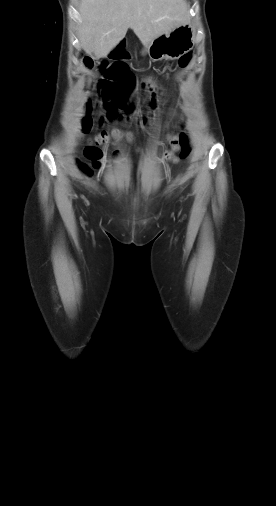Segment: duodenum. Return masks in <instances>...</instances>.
Returning <instances> with one entry per match:
<instances>
[{
	"mask_svg": "<svg viewBox=\"0 0 276 506\" xmlns=\"http://www.w3.org/2000/svg\"><path fill=\"white\" fill-rule=\"evenodd\" d=\"M110 50L112 52L110 54H112V56L115 58H130L134 54L130 46L123 45V41L120 45L111 47Z\"/></svg>",
	"mask_w": 276,
	"mask_h": 506,
	"instance_id": "410a0bca",
	"label": "duodenum"
}]
</instances>
